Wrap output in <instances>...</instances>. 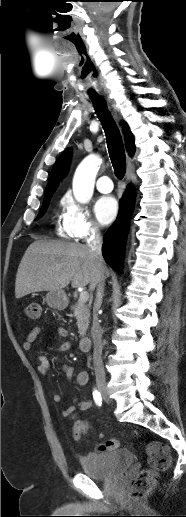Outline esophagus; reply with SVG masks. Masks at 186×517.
<instances>
[{"instance_id": "34e87169", "label": "esophagus", "mask_w": 186, "mask_h": 517, "mask_svg": "<svg viewBox=\"0 0 186 517\" xmlns=\"http://www.w3.org/2000/svg\"><path fill=\"white\" fill-rule=\"evenodd\" d=\"M130 176H131V159L128 158V166H127V173H126L127 182L130 180Z\"/></svg>"}]
</instances>
